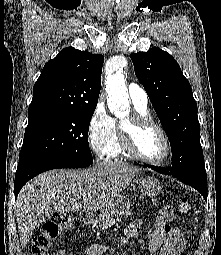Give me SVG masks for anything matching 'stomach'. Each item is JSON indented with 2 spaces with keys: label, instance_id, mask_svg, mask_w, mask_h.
Returning a JSON list of instances; mask_svg holds the SVG:
<instances>
[{
  "label": "stomach",
  "instance_id": "stomach-1",
  "mask_svg": "<svg viewBox=\"0 0 221 255\" xmlns=\"http://www.w3.org/2000/svg\"><path fill=\"white\" fill-rule=\"evenodd\" d=\"M143 196L155 197L161 191L162 187L159 181L153 177H147L140 181L139 186ZM128 206V200L126 197L119 195L113 200H111L104 208L98 210L99 220L106 217H122L125 214L126 208Z\"/></svg>",
  "mask_w": 221,
  "mask_h": 255
}]
</instances>
